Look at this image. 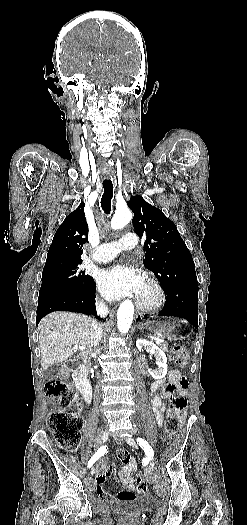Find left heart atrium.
<instances>
[{"mask_svg": "<svg viewBox=\"0 0 247 525\" xmlns=\"http://www.w3.org/2000/svg\"><path fill=\"white\" fill-rule=\"evenodd\" d=\"M120 260L121 257L118 264L99 271L98 283L102 290L111 297L117 298L128 294L138 296L142 286L136 268L122 270Z\"/></svg>", "mask_w": 247, "mask_h": 525, "instance_id": "obj_1", "label": "left heart atrium"}]
</instances>
